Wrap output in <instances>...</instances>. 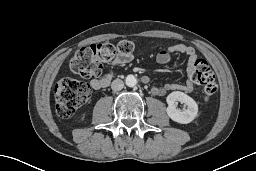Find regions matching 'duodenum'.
<instances>
[{
	"mask_svg": "<svg viewBox=\"0 0 256 171\" xmlns=\"http://www.w3.org/2000/svg\"><path fill=\"white\" fill-rule=\"evenodd\" d=\"M148 82V78L144 77L143 78V83H147Z\"/></svg>",
	"mask_w": 256,
	"mask_h": 171,
	"instance_id": "1",
	"label": "duodenum"
}]
</instances>
